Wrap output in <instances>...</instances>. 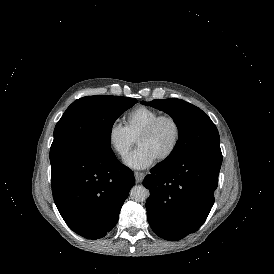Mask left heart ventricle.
Listing matches in <instances>:
<instances>
[{
	"label": "left heart ventricle",
	"instance_id": "obj_1",
	"mask_svg": "<svg viewBox=\"0 0 274 274\" xmlns=\"http://www.w3.org/2000/svg\"><path fill=\"white\" fill-rule=\"evenodd\" d=\"M174 126L170 121H163L155 131L136 141L137 147L145 148L155 161L163 157L170 149L174 139Z\"/></svg>",
	"mask_w": 274,
	"mask_h": 274
}]
</instances>
